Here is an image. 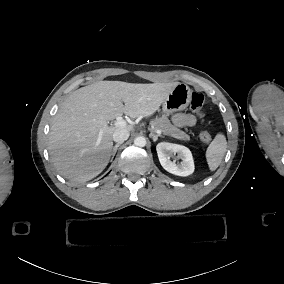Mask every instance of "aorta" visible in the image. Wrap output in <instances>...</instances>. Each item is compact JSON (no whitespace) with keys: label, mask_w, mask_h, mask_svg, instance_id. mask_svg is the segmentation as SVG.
Segmentation results:
<instances>
[{"label":"aorta","mask_w":284,"mask_h":284,"mask_svg":"<svg viewBox=\"0 0 284 284\" xmlns=\"http://www.w3.org/2000/svg\"><path fill=\"white\" fill-rule=\"evenodd\" d=\"M134 144L138 147H144L146 145V139L143 136H137L134 139Z\"/></svg>","instance_id":"1"}]
</instances>
